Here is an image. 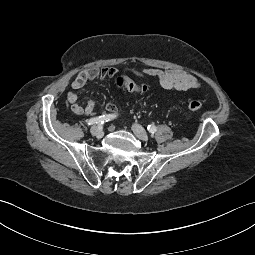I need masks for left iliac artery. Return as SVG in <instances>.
I'll return each instance as SVG.
<instances>
[{"label": "left iliac artery", "mask_w": 255, "mask_h": 255, "mask_svg": "<svg viewBox=\"0 0 255 255\" xmlns=\"http://www.w3.org/2000/svg\"><path fill=\"white\" fill-rule=\"evenodd\" d=\"M147 129L152 134L157 131V129H156V127L154 125H148Z\"/></svg>", "instance_id": "left-iliac-artery-1"}]
</instances>
